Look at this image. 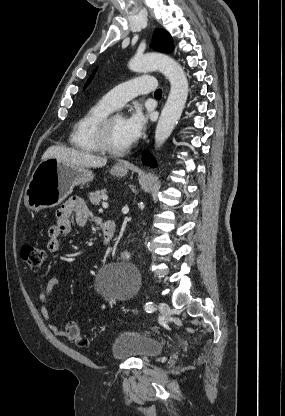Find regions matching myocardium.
<instances>
[{
  "label": "myocardium",
  "instance_id": "obj_1",
  "mask_svg": "<svg viewBox=\"0 0 285 416\" xmlns=\"http://www.w3.org/2000/svg\"><path fill=\"white\" fill-rule=\"evenodd\" d=\"M113 116L114 114L108 113L97 123L94 130V139L101 152L112 156H120L128 151L129 145L124 148L117 149L109 144L108 128Z\"/></svg>",
  "mask_w": 285,
  "mask_h": 416
}]
</instances>
